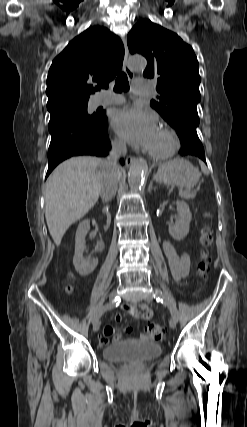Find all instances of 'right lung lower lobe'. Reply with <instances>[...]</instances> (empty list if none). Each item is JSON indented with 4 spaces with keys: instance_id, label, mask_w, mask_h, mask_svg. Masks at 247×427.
<instances>
[{
    "instance_id": "98d812e1",
    "label": "right lung lower lobe",
    "mask_w": 247,
    "mask_h": 427,
    "mask_svg": "<svg viewBox=\"0 0 247 427\" xmlns=\"http://www.w3.org/2000/svg\"><path fill=\"white\" fill-rule=\"evenodd\" d=\"M91 124L78 117L66 114L50 116L49 132L51 142L48 149V171L50 172L63 160L77 155L105 156L110 149L108 138V120ZM123 164V161H121Z\"/></svg>"
}]
</instances>
